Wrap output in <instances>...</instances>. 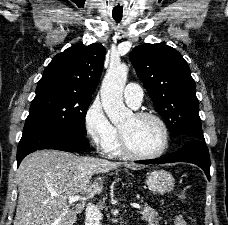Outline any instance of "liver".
<instances>
[{
    "label": "liver",
    "instance_id": "1",
    "mask_svg": "<svg viewBox=\"0 0 228 225\" xmlns=\"http://www.w3.org/2000/svg\"><path fill=\"white\" fill-rule=\"evenodd\" d=\"M121 165L127 169L137 167L53 149L31 153L17 169L19 197L13 225H74L85 203L81 201L70 209L67 197H92L93 193H100L98 183L90 185L92 175L110 173ZM97 181H102L101 177Z\"/></svg>",
    "mask_w": 228,
    "mask_h": 225
}]
</instances>
